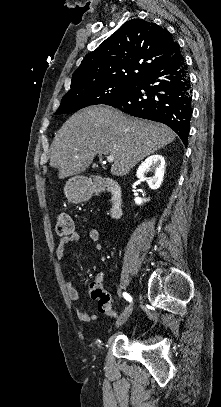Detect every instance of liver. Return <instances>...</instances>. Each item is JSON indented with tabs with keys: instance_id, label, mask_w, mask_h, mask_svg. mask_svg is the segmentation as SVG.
I'll use <instances>...</instances> for the list:
<instances>
[{
	"instance_id": "1",
	"label": "liver",
	"mask_w": 221,
	"mask_h": 407,
	"mask_svg": "<svg viewBox=\"0 0 221 407\" xmlns=\"http://www.w3.org/2000/svg\"><path fill=\"white\" fill-rule=\"evenodd\" d=\"M174 139V132L161 123L129 117L109 106H91L73 114L56 133L50 166L64 179L84 172L95 155L105 154L114 157L111 174L124 176Z\"/></svg>"
}]
</instances>
